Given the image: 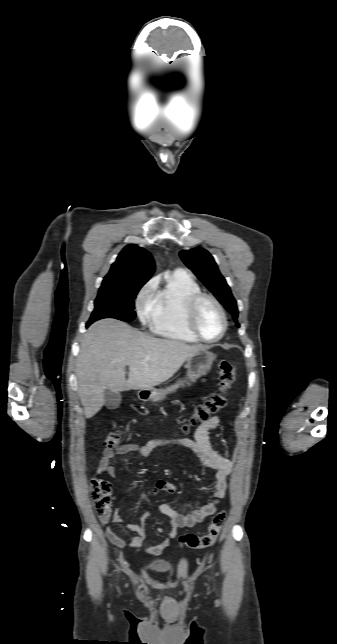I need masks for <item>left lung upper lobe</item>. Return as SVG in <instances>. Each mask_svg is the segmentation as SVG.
<instances>
[{"label":"left lung upper lobe","instance_id":"1","mask_svg":"<svg viewBox=\"0 0 337 644\" xmlns=\"http://www.w3.org/2000/svg\"><path fill=\"white\" fill-rule=\"evenodd\" d=\"M180 257L186 266L194 272L219 302L231 313L233 319L237 321L238 309L236 300L232 296L225 278L220 274L211 254L205 249L195 248L181 251ZM236 326L239 327L240 325L237 323Z\"/></svg>","mask_w":337,"mask_h":644}]
</instances>
